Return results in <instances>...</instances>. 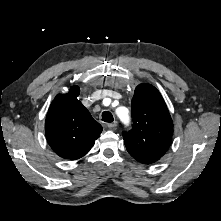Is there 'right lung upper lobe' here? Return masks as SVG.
Returning <instances> with one entry per match:
<instances>
[{"label": "right lung upper lobe", "instance_id": "cb5924a9", "mask_svg": "<svg viewBox=\"0 0 221 221\" xmlns=\"http://www.w3.org/2000/svg\"><path fill=\"white\" fill-rule=\"evenodd\" d=\"M79 93V87L72 86L68 93L58 94L45 121L50 147L60 157L70 160L87 154L102 132V126L77 99Z\"/></svg>", "mask_w": 221, "mask_h": 221}]
</instances>
